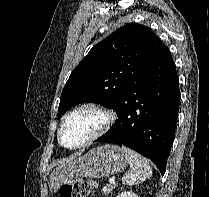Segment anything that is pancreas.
Segmentation results:
<instances>
[{"mask_svg":"<svg viewBox=\"0 0 209 197\" xmlns=\"http://www.w3.org/2000/svg\"><path fill=\"white\" fill-rule=\"evenodd\" d=\"M116 187V184H105L104 187L101 189V192L105 195H108L112 192V190Z\"/></svg>","mask_w":209,"mask_h":197,"instance_id":"pancreas-1","label":"pancreas"}]
</instances>
